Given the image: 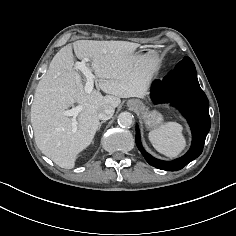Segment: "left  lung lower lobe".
<instances>
[{
  "label": "left lung lower lobe",
  "instance_id": "obj_1",
  "mask_svg": "<svg viewBox=\"0 0 236 236\" xmlns=\"http://www.w3.org/2000/svg\"><path fill=\"white\" fill-rule=\"evenodd\" d=\"M154 103L171 102L186 117L192 130V145L189 151L173 161H162L148 154L140 141L136 125V145L146 161L159 169L177 171L197 158L203 151L206 136L210 130L209 103L198 83L196 69L189 57H184L164 79L155 80L151 88Z\"/></svg>",
  "mask_w": 236,
  "mask_h": 236
}]
</instances>
